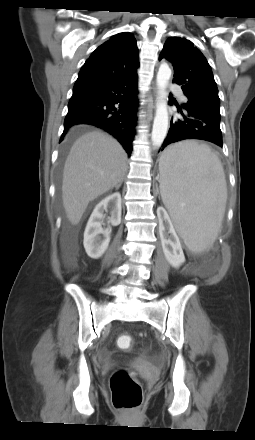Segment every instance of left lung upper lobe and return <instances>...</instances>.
<instances>
[{"instance_id": "5c2ea615", "label": "left lung upper lobe", "mask_w": 255, "mask_h": 440, "mask_svg": "<svg viewBox=\"0 0 255 440\" xmlns=\"http://www.w3.org/2000/svg\"><path fill=\"white\" fill-rule=\"evenodd\" d=\"M167 59L173 64V82L182 85L187 106L207 109L220 114L218 89L211 67L194 44L182 37H169L159 60Z\"/></svg>"}]
</instances>
